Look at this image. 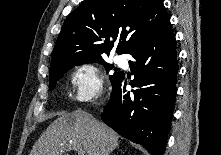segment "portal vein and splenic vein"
<instances>
[{
    "instance_id": "obj_1",
    "label": "portal vein and splenic vein",
    "mask_w": 221,
    "mask_h": 155,
    "mask_svg": "<svg viewBox=\"0 0 221 155\" xmlns=\"http://www.w3.org/2000/svg\"><path fill=\"white\" fill-rule=\"evenodd\" d=\"M72 149L78 151L79 155H84V152H83V150L81 148H79L77 146H69L68 147V150H72Z\"/></svg>"
}]
</instances>
